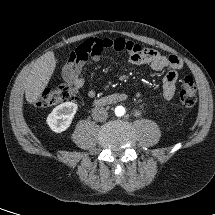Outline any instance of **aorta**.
I'll return each mask as SVG.
<instances>
[{"instance_id":"obj_1","label":"aorta","mask_w":215,"mask_h":215,"mask_svg":"<svg viewBox=\"0 0 215 215\" xmlns=\"http://www.w3.org/2000/svg\"><path fill=\"white\" fill-rule=\"evenodd\" d=\"M115 114H116V116H118V117L123 116V115L125 114V108H124L123 106H117V107L115 108Z\"/></svg>"}]
</instances>
